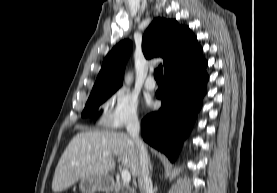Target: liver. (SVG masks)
<instances>
[{
  "mask_svg": "<svg viewBox=\"0 0 277 193\" xmlns=\"http://www.w3.org/2000/svg\"><path fill=\"white\" fill-rule=\"evenodd\" d=\"M103 153L118 156L132 176H138L139 151L129 134L85 131L78 133L62 154L55 169L52 190L62 192L84 177L107 175L115 168V163Z\"/></svg>",
  "mask_w": 277,
  "mask_h": 193,
  "instance_id": "liver-1",
  "label": "liver"
}]
</instances>
